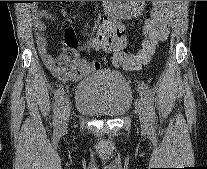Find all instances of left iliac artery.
I'll return each mask as SVG.
<instances>
[{
  "instance_id": "left-iliac-artery-1",
  "label": "left iliac artery",
  "mask_w": 207,
  "mask_h": 169,
  "mask_svg": "<svg viewBox=\"0 0 207 169\" xmlns=\"http://www.w3.org/2000/svg\"><path fill=\"white\" fill-rule=\"evenodd\" d=\"M141 95L143 96L144 103L147 110V115L150 122L155 120V108H154V94L152 90L144 82L140 84Z\"/></svg>"
}]
</instances>
